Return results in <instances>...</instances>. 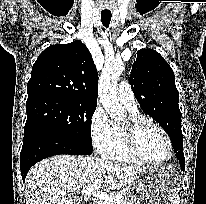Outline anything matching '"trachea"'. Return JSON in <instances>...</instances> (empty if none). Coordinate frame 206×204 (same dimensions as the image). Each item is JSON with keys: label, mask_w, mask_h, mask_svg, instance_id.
Returning <instances> with one entry per match:
<instances>
[{"label": "trachea", "mask_w": 206, "mask_h": 204, "mask_svg": "<svg viewBox=\"0 0 206 204\" xmlns=\"http://www.w3.org/2000/svg\"><path fill=\"white\" fill-rule=\"evenodd\" d=\"M101 21L102 24L108 28L111 21V13L110 12H101Z\"/></svg>", "instance_id": "obj_1"}]
</instances>
